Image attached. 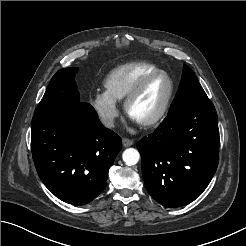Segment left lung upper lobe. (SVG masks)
Instances as JSON below:
<instances>
[{
	"mask_svg": "<svg viewBox=\"0 0 246 246\" xmlns=\"http://www.w3.org/2000/svg\"><path fill=\"white\" fill-rule=\"evenodd\" d=\"M207 98L206 93L198 82L193 71L184 64L179 90L169 113L174 112L178 108L187 104L198 102Z\"/></svg>",
	"mask_w": 246,
	"mask_h": 246,
	"instance_id": "1",
	"label": "left lung upper lobe"
}]
</instances>
